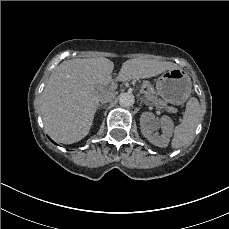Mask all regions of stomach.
Here are the masks:
<instances>
[{
	"instance_id": "stomach-1",
	"label": "stomach",
	"mask_w": 229,
	"mask_h": 229,
	"mask_svg": "<svg viewBox=\"0 0 229 229\" xmlns=\"http://www.w3.org/2000/svg\"><path fill=\"white\" fill-rule=\"evenodd\" d=\"M156 89L162 99L178 106L187 102L192 93V82L182 68L170 69L156 80Z\"/></svg>"
}]
</instances>
